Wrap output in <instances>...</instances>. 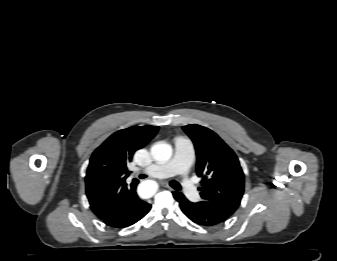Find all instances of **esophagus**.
<instances>
[{
	"label": "esophagus",
	"instance_id": "esophagus-1",
	"mask_svg": "<svg viewBox=\"0 0 337 261\" xmlns=\"http://www.w3.org/2000/svg\"><path fill=\"white\" fill-rule=\"evenodd\" d=\"M163 186L168 188L169 190H173L168 184H163Z\"/></svg>",
	"mask_w": 337,
	"mask_h": 261
}]
</instances>
